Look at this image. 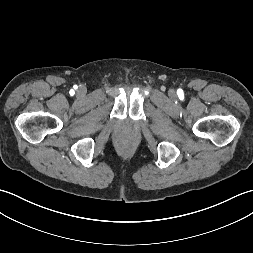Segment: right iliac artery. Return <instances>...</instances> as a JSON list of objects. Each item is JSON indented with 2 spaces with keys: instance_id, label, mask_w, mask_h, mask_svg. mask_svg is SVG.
Here are the masks:
<instances>
[{
  "instance_id": "82829eb1",
  "label": "right iliac artery",
  "mask_w": 253,
  "mask_h": 253,
  "mask_svg": "<svg viewBox=\"0 0 253 253\" xmlns=\"http://www.w3.org/2000/svg\"><path fill=\"white\" fill-rule=\"evenodd\" d=\"M70 93H71V94H73V93H74V91H73V90H71V91H70Z\"/></svg>"
}]
</instances>
